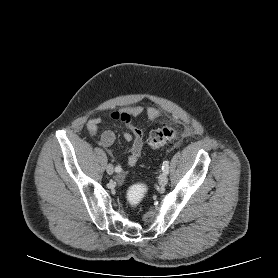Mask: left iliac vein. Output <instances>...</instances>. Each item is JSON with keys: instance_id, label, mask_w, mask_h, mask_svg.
Wrapping results in <instances>:
<instances>
[{"instance_id": "left-iliac-vein-1", "label": "left iliac vein", "mask_w": 278, "mask_h": 278, "mask_svg": "<svg viewBox=\"0 0 278 278\" xmlns=\"http://www.w3.org/2000/svg\"><path fill=\"white\" fill-rule=\"evenodd\" d=\"M158 181L161 186H165L168 182L167 174L166 173L160 174Z\"/></svg>"}]
</instances>
